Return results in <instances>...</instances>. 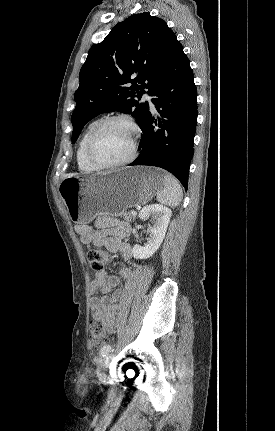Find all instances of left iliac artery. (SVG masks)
<instances>
[{
  "label": "left iliac artery",
  "mask_w": 275,
  "mask_h": 431,
  "mask_svg": "<svg viewBox=\"0 0 275 431\" xmlns=\"http://www.w3.org/2000/svg\"><path fill=\"white\" fill-rule=\"evenodd\" d=\"M112 351V346L111 345H105L101 348L100 350V356L101 357H105L106 355H108L109 352Z\"/></svg>",
  "instance_id": "obj_1"
}]
</instances>
